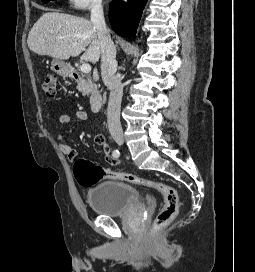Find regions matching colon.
I'll return each instance as SVG.
<instances>
[{
    "instance_id": "obj_1",
    "label": "colon",
    "mask_w": 255,
    "mask_h": 272,
    "mask_svg": "<svg viewBox=\"0 0 255 272\" xmlns=\"http://www.w3.org/2000/svg\"><path fill=\"white\" fill-rule=\"evenodd\" d=\"M56 80V75L49 73L41 81V88L49 97L56 96ZM73 172L77 182L84 187H91L102 179L107 178L126 181L157 190L163 196L164 204L154 219L152 226L154 231L167 226L178 213L179 198L177 191L165 183L144 179L130 173L105 169L85 158L78 159L74 163Z\"/></svg>"
}]
</instances>
